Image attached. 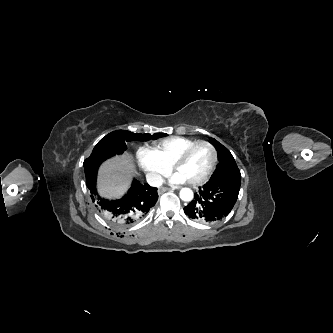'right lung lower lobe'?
<instances>
[{"label": "right lung lower lobe", "mask_w": 333, "mask_h": 333, "mask_svg": "<svg viewBox=\"0 0 333 333\" xmlns=\"http://www.w3.org/2000/svg\"><path fill=\"white\" fill-rule=\"evenodd\" d=\"M111 156L89 157L84 161L86 184L100 214L119 227L130 226L143 218L158 200L157 188L134 180L128 193L118 200L100 197L96 190L99 165Z\"/></svg>", "instance_id": "right-lung-lower-lobe-1"}]
</instances>
